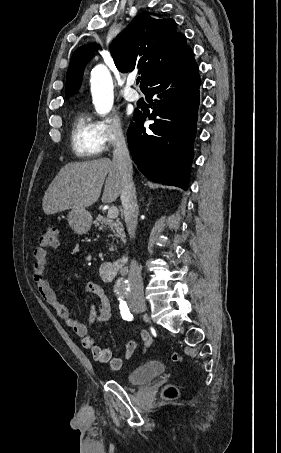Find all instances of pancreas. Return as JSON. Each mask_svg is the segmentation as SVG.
I'll use <instances>...</instances> for the list:
<instances>
[{"instance_id":"obj_1","label":"pancreas","mask_w":281,"mask_h":453,"mask_svg":"<svg viewBox=\"0 0 281 453\" xmlns=\"http://www.w3.org/2000/svg\"><path fill=\"white\" fill-rule=\"evenodd\" d=\"M94 224H96V227H100V229H109V231H112L113 235H110V237H119L121 241H125V233L123 229V224L120 222V218H116V220H113V218H105V216H102V214H98L96 216V220H94ZM113 249V247H111Z\"/></svg>"}]
</instances>
